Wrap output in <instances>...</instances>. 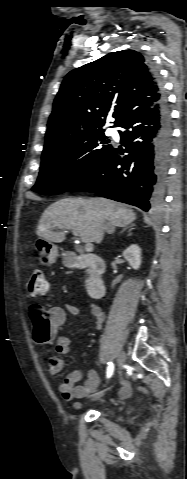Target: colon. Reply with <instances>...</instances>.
<instances>
[{"mask_svg":"<svg viewBox=\"0 0 187 479\" xmlns=\"http://www.w3.org/2000/svg\"><path fill=\"white\" fill-rule=\"evenodd\" d=\"M27 293L30 298L45 297L48 293V283L44 277L42 270L36 269L31 273L27 283ZM38 316L34 319L36 322H41L45 325L49 324V315L44 308L37 304L35 308Z\"/></svg>","mask_w":187,"mask_h":479,"instance_id":"5ec220e1","label":"colon"}]
</instances>
